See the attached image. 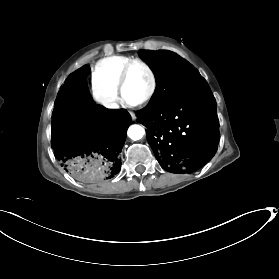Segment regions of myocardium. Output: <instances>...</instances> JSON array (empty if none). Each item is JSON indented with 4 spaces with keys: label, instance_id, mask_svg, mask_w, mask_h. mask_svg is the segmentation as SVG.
<instances>
[{
    "label": "myocardium",
    "instance_id": "myocardium-1",
    "mask_svg": "<svg viewBox=\"0 0 279 279\" xmlns=\"http://www.w3.org/2000/svg\"><path fill=\"white\" fill-rule=\"evenodd\" d=\"M135 65L142 66L148 72L150 79H151V86H150V89H149L148 93L146 94V96L143 97L141 100L134 102V103H127L124 98L125 86H126L129 72H130L131 68ZM117 89H118V94L123 103H125L128 106H142V105L146 104L147 102H149L156 93L157 78H156L155 72L153 71L151 66L148 63H146L145 61H143L141 59H132L121 70V72L118 76Z\"/></svg>",
    "mask_w": 279,
    "mask_h": 279
}]
</instances>
